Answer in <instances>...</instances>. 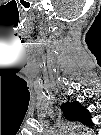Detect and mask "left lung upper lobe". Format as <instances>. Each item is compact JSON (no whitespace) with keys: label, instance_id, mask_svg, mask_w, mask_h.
<instances>
[{"label":"left lung upper lobe","instance_id":"obj_1","mask_svg":"<svg viewBox=\"0 0 101 135\" xmlns=\"http://www.w3.org/2000/svg\"><path fill=\"white\" fill-rule=\"evenodd\" d=\"M62 110L65 118L70 121H79L89 125L91 122L89 112L83 108L78 102H67L62 105Z\"/></svg>","mask_w":101,"mask_h":135}]
</instances>
